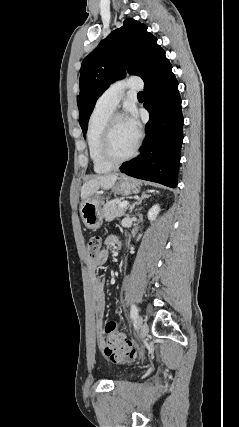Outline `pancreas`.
Masks as SVG:
<instances>
[{
	"mask_svg": "<svg viewBox=\"0 0 239 427\" xmlns=\"http://www.w3.org/2000/svg\"><path fill=\"white\" fill-rule=\"evenodd\" d=\"M126 209H127L126 207L119 208L117 200H113L111 202H107L104 205L102 209V215L107 222H110L115 218L124 216Z\"/></svg>",
	"mask_w": 239,
	"mask_h": 427,
	"instance_id": "obj_1",
	"label": "pancreas"
}]
</instances>
